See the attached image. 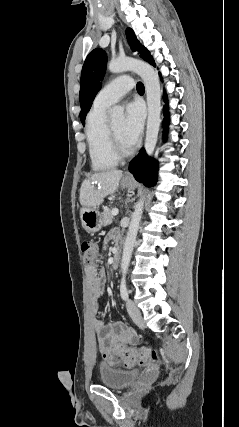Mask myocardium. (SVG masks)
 <instances>
[{"instance_id": "1", "label": "myocardium", "mask_w": 239, "mask_h": 427, "mask_svg": "<svg viewBox=\"0 0 239 427\" xmlns=\"http://www.w3.org/2000/svg\"><path fill=\"white\" fill-rule=\"evenodd\" d=\"M108 132L111 150L113 154L117 157V159L126 158L134 152V149L132 147L126 149L121 145L110 124H108Z\"/></svg>"}]
</instances>
